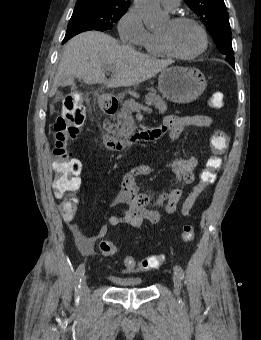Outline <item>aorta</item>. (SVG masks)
<instances>
[{
    "label": "aorta",
    "mask_w": 261,
    "mask_h": 340,
    "mask_svg": "<svg viewBox=\"0 0 261 340\" xmlns=\"http://www.w3.org/2000/svg\"><path fill=\"white\" fill-rule=\"evenodd\" d=\"M135 3L147 28H156L166 20L159 0H135Z\"/></svg>",
    "instance_id": "1"
}]
</instances>
